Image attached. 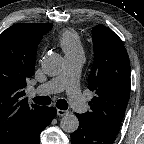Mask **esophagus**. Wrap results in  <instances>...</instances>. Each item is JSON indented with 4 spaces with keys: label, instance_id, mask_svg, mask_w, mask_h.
Listing matches in <instances>:
<instances>
[{
    "label": "esophagus",
    "instance_id": "1",
    "mask_svg": "<svg viewBox=\"0 0 144 144\" xmlns=\"http://www.w3.org/2000/svg\"><path fill=\"white\" fill-rule=\"evenodd\" d=\"M67 114H68V111L57 109V115L58 116H64V115H67Z\"/></svg>",
    "mask_w": 144,
    "mask_h": 144
}]
</instances>
